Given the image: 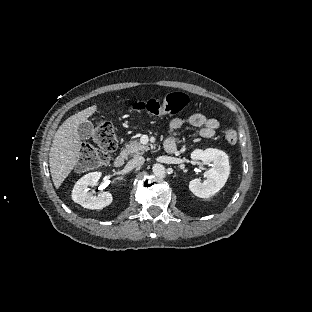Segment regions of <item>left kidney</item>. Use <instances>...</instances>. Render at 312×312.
I'll return each instance as SVG.
<instances>
[{
    "label": "left kidney",
    "mask_w": 312,
    "mask_h": 312,
    "mask_svg": "<svg viewBox=\"0 0 312 312\" xmlns=\"http://www.w3.org/2000/svg\"><path fill=\"white\" fill-rule=\"evenodd\" d=\"M191 158L193 160H201L203 164H210L212 162V168L204 173L207 179L203 182H201V179L190 181V191L201 198H208L214 195L225 185L230 173L227 154L213 148L206 150L195 149L191 153Z\"/></svg>",
    "instance_id": "obj_1"
}]
</instances>
